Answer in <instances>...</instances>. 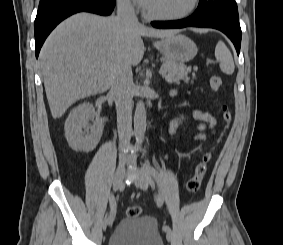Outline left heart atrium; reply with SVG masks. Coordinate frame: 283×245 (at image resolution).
<instances>
[{"label": "left heart atrium", "mask_w": 283, "mask_h": 245, "mask_svg": "<svg viewBox=\"0 0 283 245\" xmlns=\"http://www.w3.org/2000/svg\"><path fill=\"white\" fill-rule=\"evenodd\" d=\"M140 5L146 6L149 0H136Z\"/></svg>", "instance_id": "obj_1"}]
</instances>
